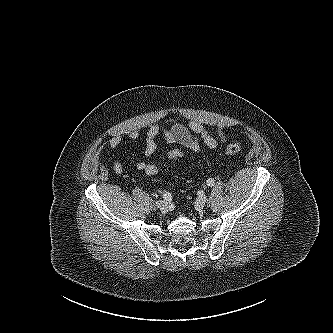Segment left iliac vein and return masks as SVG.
I'll use <instances>...</instances> for the list:
<instances>
[{"label":"left iliac vein","mask_w":333,"mask_h":333,"mask_svg":"<svg viewBox=\"0 0 333 333\" xmlns=\"http://www.w3.org/2000/svg\"><path fill=\"white\" fill-rule=\"evenodd\" d=\"M207 198L205 196L199 197L195 201V207L197 210H202L206 205Z\"/></svg>","instance_id":"1"}]
</instances>
